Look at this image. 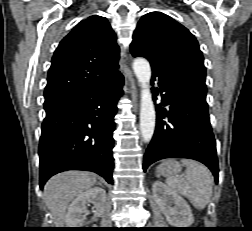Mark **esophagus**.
<instances>
[{
    "label": "esophagus",
    "mask_w": 252,
    "mask_h": 231,
    "mask_svg": "<svg viewBox=\"0 0 252 231\" xmlns=\"http://www.w3.org/2000/svg\"><path fill=\"white\" fill-rule=\"evenodd\" d=\"M131 89H132V91H134L135 93L137 92V87H136V85H131Z\"/></svg>",
    "instance_id": "1"
}]
</instances>
